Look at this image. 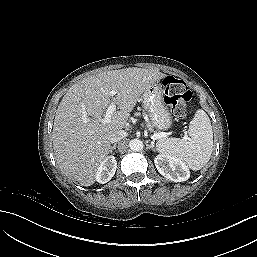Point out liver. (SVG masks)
Listing matches in <instances>:
<instances>
[{"mask_svg": "<svg viewBox=\"0 0 257 257\" xmlns=\"http://www.w3.org/2000/svg\"><path fill=\"white\" fill-rule=\"evenodd\" d=\"M165 77L156 69L132 67L74 84L60 102L53 125V149L61 171L82 186L94 184L97 167L110 153L112 134L125 127L145 89ZM111 103L118 110L105 122Z\"/></svg>", "mask_w": 257, "mask_h": 257, "instance_id": "liver-1", "label": "liver"}]
</instances>
